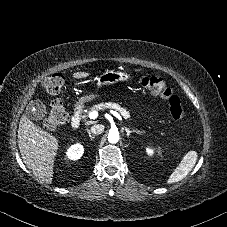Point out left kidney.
<instances>
[{
	"instance_id": "obj_1",
	"label": "left kidney",
	"mask_w": 227,
	"mask_h": 227,
	"mask_svg": "<svg viewBox=\"0 0 227 227\" xmlns=\"http://www.w3.org/2000/svg\"><path fill=\"white\" fill-rule=\"evenodd\" d=\"M146 153L149 155V156H152L154 154V149L151 148V147H147L146 148Z\"/></svg>"
}]
</instances>
